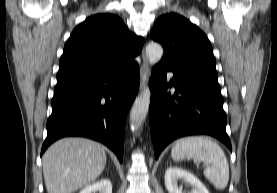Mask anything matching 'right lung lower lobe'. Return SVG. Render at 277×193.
I'll return each mask as SVG.
<instances>
[{
    "mask_svg": "<svg viewBox=\"0 0 277 193\" xmlns=\"http://www.w3.org/2000/svg\"><path fill=\"white\" fill-rule=\"evenodd\" d=\"M138 87L135 61L101 76L57 84L41 155L62 137L82 136L105 144L121 162L126 116Z\"/></svg>",
    "mask_w": 277,
    "mask_h": 193,
    "instance_id": "1",
    "label": "right lung lower lobe"
}]
</instances>
